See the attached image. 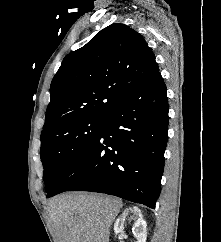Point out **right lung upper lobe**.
Returning <instances> with one entry per match:
<instances>
[{"instance_id": "obj_1", "label": "right lung upper lobe", "mask_w": 221, "mask_h": 242, "mask_svg": "<svg viewBox=\"0 0 221 242\" xmlns=\"http://www.w3.org/2000/svg\"><path fill=\"white\" fill-rule=\"evenodd\" d=\"M158 73L140 33L121 23L109 25L63 59L50 86L42 134L82 117L103 116Z\"/></svg>"}]
</instances>
